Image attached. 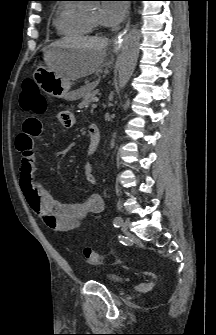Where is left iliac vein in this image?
Here are the masks:
<instances>
[{"mask_svg": "<svg viewBox=\"0 0 216 335\" xmlns=\"http://www.w3.org/2000/svg\"><path fill=\"white\" fill-rule=\"evenodd\" d=\"M130 226V220L129 219H125L122 223H121V229L123 232H127L128 228Z\"/></svg>", "mask_w": 216, "mask_h": 335, "instance_id": "left-iliac-vein-1", "label": "left iliac vein"}]
</instances>
